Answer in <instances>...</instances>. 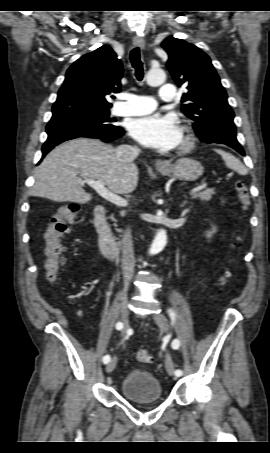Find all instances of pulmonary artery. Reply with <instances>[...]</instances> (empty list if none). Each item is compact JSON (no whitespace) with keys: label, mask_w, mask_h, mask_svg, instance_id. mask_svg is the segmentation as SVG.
Here are the masks:
<instances>
[{"label":"pulmonary artery","mask_w":270,"mask_h":453,"mask_svg":"<svg viewBox=\"0 0 270 453\" xmlns=\"http://www.w3.org/2000/svg\"><path fill=\"white\" fill-rule=\"evenodd\" d=\"M159 96L162 100L171 101L175 96V87L166 84L160 87ZM125 102L115 108V114L119 116H135L147 114L156 108V102L152 97L125 94Z\"/></svg>","instance_id":"pulmonary-artery-1"}]
</instances>
